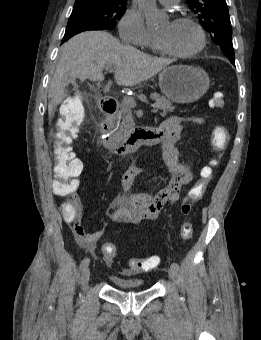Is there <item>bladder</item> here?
Here are the masks:
<instances>
[{"label":"bladder","instance_id":"1","mask_svg":"<svg viewBox=\"0 0 261 340\" xmlns=\"http://www.w3.org/2000/svg\"><path fill=\"white\" fill-rule=\"evenodd\" d=\"M110 280L115 287L122 290H140L145 287L143 280L140 278H126L118 275H111Z\"/></svg>","mask_w":261,"mask_h":340}]
</instances>
